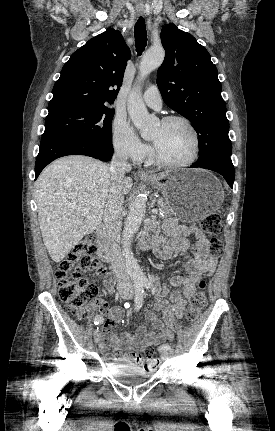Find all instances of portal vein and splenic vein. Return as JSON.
Wrapping results in <instances>:
<instances>
[{"label":"portal vein and splenic vein","instance_id":"obj_1","mask_svg":"<svg viewBox=\"0 0 275 431\" xmlns=\"http://www.w3.org/2000/svg\"><path fill=\"white\" fill-rule=\"evenodd\" d=\"M78 209L82 210L84 214H87L89 212V209L85 207H78ZM152 212L153 214H158V209H153Z\"/></svg>","mask_w":275,"mask_h":431}]
</instances>
